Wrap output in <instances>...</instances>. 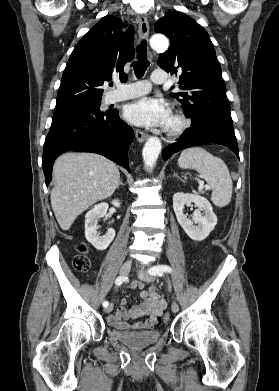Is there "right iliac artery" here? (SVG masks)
Segmentation results:
<instances>
[{"label": "right iliac artery", "instance_id": "right-iliac-artery-1", "mask_svg": "<svg viewBox=\"0 0 279 391\" xmlns=\"http://www.w3.org/2000/svg\"><path fill=\"white\" fill-rule=\"evenodd\" d=\"M123 281H124V277L119 276V277L116 278L115 284H116V285H121V284L123 283ZM108 305H109L108 301H104V302H103V306H104V307H107Z\"/></svg>", "mask_w": 279, "mask_h": 391}]
</instances>
